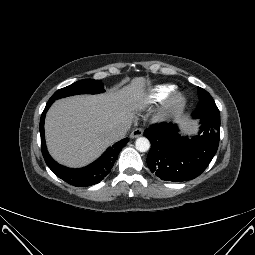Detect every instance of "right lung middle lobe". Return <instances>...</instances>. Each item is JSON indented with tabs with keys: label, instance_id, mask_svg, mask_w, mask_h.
<instances>
[{
	"label": "right lung middle lobe",
	"instance_id": "obj_1",
	"mask_svg": "<svg viewBox=\"0 0 255 255\" xmlns=\"http://www.w3.org/2000/svg\"><path fill=\"white\" fill-rule=\"evenodd\" d=\"M103 84L100 80L83 79L75 82L65 88L56 91L49 101L54 102L57 99L77 95V94H97L104 92Z\"/></svg>",
	"mask_w": 255,
	"mask_h": 255
}]
</instances>
